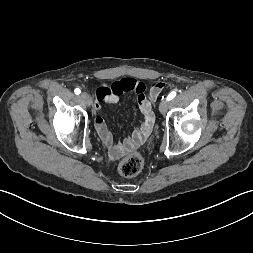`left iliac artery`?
<instances>
[{
	"instance_id": "1",
	"label": "left iliac artery",
	"mask_w": 253,
	"mask_h": 253,
	"mask_svg": "<svg viewBox=\"0 0 253 253\" xmlns=\"http://www.w3.org/2000/svg\"><path fill=\"white\" fill-rule=\"evenodd\" d=\"M176 96V92L175 91H172L169 93V95L167 96V100H172L174 97Z\"/></svg>"
}]
</instances>
